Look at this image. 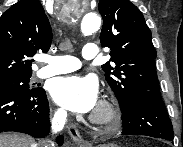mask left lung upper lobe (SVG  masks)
Segmentation results:
<instances>
[{
    "label": "left lung upper lobe",
    "instance_id": "obj_1",
    "mask_svg": "<svg viewBox=\"0 0 183 147\" xmlns=\"http://www.w3.org/2000/svg\"><path fill=\"white\" fill-rule=\"evenodd\" d=\"M98 9L103 17L101 45L111 49L102 69L120 107L139 97L161 99L157 53L141 11L129 0H100Z\"/></svg>",
    "mask_w": 183,
    "mask_h": 147
}]
</instances>
